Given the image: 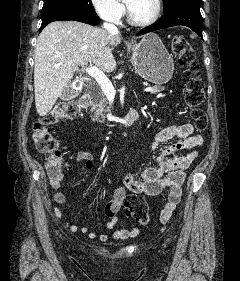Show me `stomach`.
Listing matches in <instances>:
<instances>
[{
  "label": "stomach",
  "instance_id": "1",
  "mask_svg": "<svg viewBox=\"0 0 240 281\" xmlns=\"http://www.w3.org/2000/svg\"><path fill=\"white\" fill-rule=\"evenodd\" d=\"M131 62L136 73L155 83H167L174 72V61L156 34H148L137 43L129 46Z\"/></svg>",
  "mask_w": 240,
  "mask_h": 281
}]
</instances>
